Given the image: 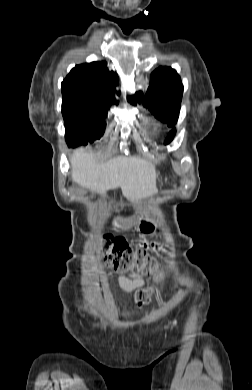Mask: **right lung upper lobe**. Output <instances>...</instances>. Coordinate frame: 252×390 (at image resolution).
<instances>
[{"mask_svg": "<svg viewBox=\"0 0 252 390\" xmlns=\"http://www.w3.org/2000/svg\"><path fill=\"white\" fill-rule=\"evenodd\" d=\"M118 80V75L109 72L104 61L77 65L61 83L62 109L109 108L110 104L116 103Z\"/></svg>", "mask_w": 252, "mask_h": 390, "instance_id": "right-lung-upper-lobe-1", "label": "right lung upper lobe"}]
</instances>
